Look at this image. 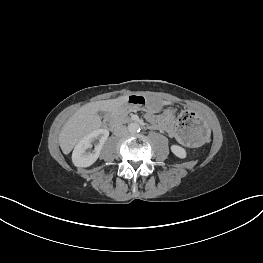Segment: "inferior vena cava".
<instances>
[{
	"label": "inferior vena cava",
	"instance_id": "inferior-vena-cava-1",
	"mask_svg": "<svg viewBox=\"0 0 263 263\" xmlns=\"http://www.w3.org/2000/svg\"><path fill=\"white\" fill-rule=\"evenodd\" d=\"M127 133H128V129L124 125L117 126L114 130V134L119 137L125 136L127 135Z\"/></svg>",
	"mask_w": 263,
	"mask_h": 263
}]
</instances>
